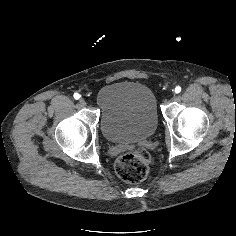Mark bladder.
<instances>
[{
	"instance_id": "bladder-1",
	"label": "bladder",
	"mask_w": 236,
	"mask_h": 236,
	"mask_svg": "<svg viewBox=\"0 0 236 236\" xmlns=\"http://www.w3.org/2000/svg\"><path fill=\"white\" fill-rule=\"evenodd\" d=\"M100 126L107 141L133 143L151 137L159 123L154 92L146 85L119 81L101 88L95 96Z\"/></svg>"
}]
</instances>
